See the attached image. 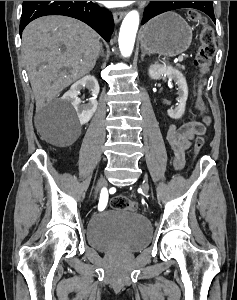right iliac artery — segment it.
<instances>
[{
	"label": "right iliac artery",
	"instance_id": "right-iliac-artery-1",
	"mask_svg": "<svg viewBox=\"0 0 237 300\" xmlns=\"http://www.w3.org/2000/svg\"><path fill=\"white\" fill-rule=\"evenodd\" d=\"M103 191H104V189L102 190V192L100 194L98 209H104L107 205L108 198L107 197H105V198L102 197Z\"/></svg>",
	"mask_w": 237,
	"mask_h": 300
}]
</instances>
